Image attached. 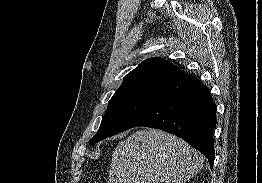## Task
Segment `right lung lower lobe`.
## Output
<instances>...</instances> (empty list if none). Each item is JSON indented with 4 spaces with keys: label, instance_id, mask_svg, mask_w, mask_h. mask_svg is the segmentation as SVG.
Returning <instances> with one entry per match:
<instances>
[{
    "label": "right lung lower lobe",
    "instance_id": "98d812e1",
    "mask_svg": "<svg viewBox=\"0 0 262 183\" xmlns=\"http://www.w3.org/2000/svg\"><path fill=\"white\" fill-rule=\"evenodd\" d=\"M137 126L161 129L184 139L213 168L216 106L209 89L195 76L185 74L161 88L123 131Z\"/></svg>",
    "mask_w": 262,
    "mask_h": 183
}]
</instances>
